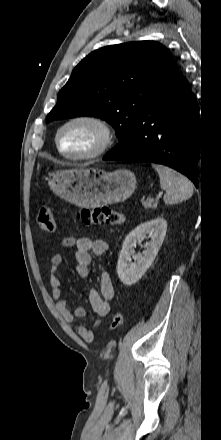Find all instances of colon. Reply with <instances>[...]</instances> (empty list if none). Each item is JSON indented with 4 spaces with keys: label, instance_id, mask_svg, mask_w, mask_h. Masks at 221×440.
<instances>
[{
    "label": "colon",
    "instance_id": "5ec220e1",
    "mask_svg": "<svg viewBox=\"0 0 221 440\" xmlns=\"http://www.w3.org/2000/svg\"><path fill=\"white\" fill-rule=\"evenodd\" d=\"M78 220L86 226L120 225L124 221L123 215L109 207L83 208L77 212ZM38 227L46 232L55 230V219L50 207H42L37 215ZM123 324V317L119 312L112 316L110 329L118 330Z\"/></svg>",
    "mask_w": 221,
    "mask_h": 440
}]
</instances>
